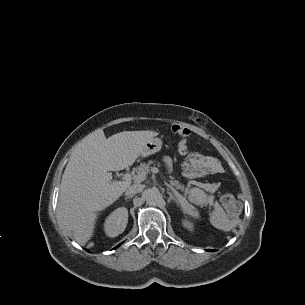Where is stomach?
<instances>
[{"instance_id": "1", "label": "stomach", "mask_w": 305, "mask_h": 305, "mask_svg": "<svg viewBox=\"0 0 305 305\" xmlns=\"http://www.w3.org/2000/svg\"><path fill=\"white\" fill-rule=\"evenodd\" d=\"M162 148V140L160 138H152L147 141L142 147L140 156L148 157L156 152H159Z\"/></svg>"}]
</instances>
